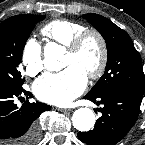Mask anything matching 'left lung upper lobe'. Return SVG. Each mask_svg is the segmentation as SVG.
Returning <instances> with one entry per match:
<instances>
[{
	"mask_svg": "<svg viewBox=\"0 0 145 145\" xmlns=\"http://www.w3.org/2000/svg\"><path fill=\"white\" fill-rule=\"evenodd\" d=\"M83 18L100 32L108 50L105 73L88 95L97 97L116 90H126L143 96L142 60L130 36L101 15L88 13Z\"/></svg>",
	"mask_w": 145,
	"mask_h": 145,
	"instance_id": "obj_1",
	"label": "left lung upper lobe"
}]
</instances>
